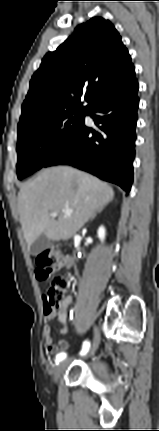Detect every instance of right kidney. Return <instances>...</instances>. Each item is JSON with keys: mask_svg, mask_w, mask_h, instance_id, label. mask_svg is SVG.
Segmentation results:
<instances>
[{"mask_svg": "<svg viewBox=\"0 0 159 431\" xmlns=\"http://www.w3.org/2000/svg\"><path fill=\"white\" fill-rule=\"evenodd\" d=\"M98 237L101 241L105 239V228L103 226H100L98 229Z\"/></svg>", "mask_w": 159, "mask_h": 431, "instance_id": "obj_1", "label": "right kidney"}]
</instances>
